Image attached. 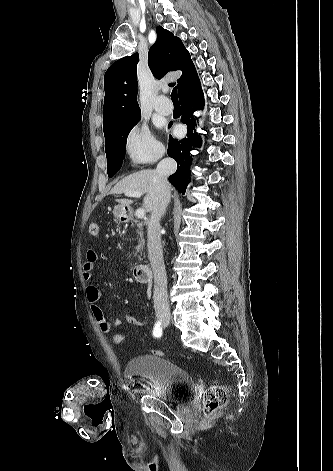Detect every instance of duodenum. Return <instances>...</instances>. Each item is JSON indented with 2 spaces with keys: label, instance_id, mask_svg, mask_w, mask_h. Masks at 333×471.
<instances>
[{
  "label": "duodenum",
  "instance_id": "1",
  "mask_svg": "<svg viewBox=\"0 0 333 471\" xmlns=\"http://www.w3.org/2000/svg\"><path fill=\"white\" fill-rule=\"evenodd\" d=\"M133 277L139 283H146L150 277V269L146 264H138L133 268Z\"/></svg>",
  "mask_w": 333,
  "mask_h": 471
}]
</instances>
